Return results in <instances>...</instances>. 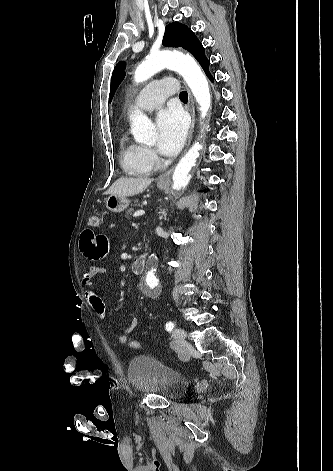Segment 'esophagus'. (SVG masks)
I'll return each mask as SVG.
<instances>
[{
    "label": "esophagus",
    "instance_id": "34e87169",
    "mask_svg": "<svg viewBox=\"0 0 333 471\" xmlns=\"http://www.w3.org/2000/svg\"><path fill=\"white\" fill-rule=\"evenodd\" d=\"M187 92H188V111L191 115V125H190V130H189V136H188V142H187V146H189L190 142H191V139H192V134H193V131H194V125H195V109H194V101H193V97L190 93V91L188 90L187 88ZM173 167L171 169H169L168 171H166L165 173L161 174L158 178V182L160 183H166V182H169L170 180V177H171V174L173 172Z\"/></svg>",
    "mask_w": 333,
    "mask_h": 471
}]
</instances>
